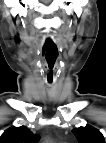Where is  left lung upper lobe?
Returning <instances> with one entry per match:
<instances>
[{"instance_id": "1", "label": "left lung upper lobe", "mask_w": 106, "mask_h": 143, "mask_svg": "<svg viewBox=\"0 0 106 143\" xmlns=\"http://www.w3.org/2000/svg\"><path fill=\"white\" fill-rule=\"evenodd\" d=\"M72 132L79 143H105L102 133L90 125L75 128Z\"/></svg>"}]
</instances>
